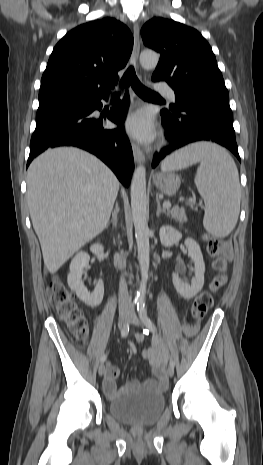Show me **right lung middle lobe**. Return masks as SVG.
Instances as JSON below:
<instances>
[{
  "instance_id": "1",
  "label": "right lung middle lobe",
  "mask_w": 263,
  "mask_h": 465,
  "mask_svg": "<svg viewBox=\"0 0 263 465\" xmlns=\"http://www.w3.org/2000/svg\"><path fill=\"white\" fill-rule=\"evenodd\" d=\"M82 99L83 97H60V98H53V99L39 101L38 111L47 109V108H52L55 106L77 103V102L82 101Z\"/></svg>"
}]
</instances>
